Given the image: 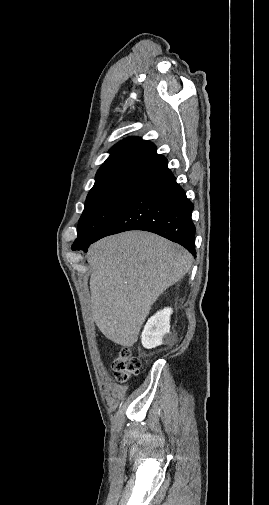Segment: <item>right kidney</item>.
Instances as JSON below:
<instances>
[{
  "label": "right kidney",
  "instance_id": "right-kidney-1",
  "mask_svg": "<svg viewBox=\"0 0 269 505\" xmlns=\"http://www.w3.org/2000/svg\"><path fill=\"white\" fill-rule=\"evenodd\" d=\"M172 312L171 308H165L147 321L142 332V345L145 348H154L170 337V315Z\"/></svg>",
  "mask_w": 269,
  "mask_h": 505
}]
</instances>
